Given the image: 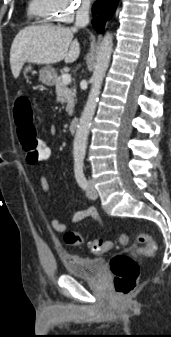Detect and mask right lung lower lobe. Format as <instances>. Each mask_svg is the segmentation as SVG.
Instances as JSON below:
<instances>
[{"label":"right lung lower lobe","mask_w":171,"mask_h":337,"mask_svg":"<svg viewBox=\"0 0 171 337\" xmlns=\"http://www.w3.org/2000/svg\"><path fill=\"white\" fill-rule=\"evenodd\" d=\"M118 5V0H97L92 7L94 19L92 24L95 30L102 33L106 21L110 20Z\"/></svg>","instance_id":"obj_1"}]
</instances>
